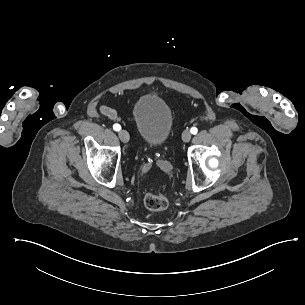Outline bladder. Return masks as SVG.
<instances>
[{
    "label": "bladder",
    "mask_w": 305,
    "mask_h": 305,
    "mask_svg": "<svg viewBox=\"0 0 305 305\" xmlns=\"http://www.w3.org/2000/svg\"><path fill=\"white\" fill-rule=\"evenodd\" d=\"M132 121L139 138L151 145L165 146L174 123L173 108L155 92L137 98L131 107Z\"/></svg>",
    "instance_id": "31cf9c89"
}]
</instances>
